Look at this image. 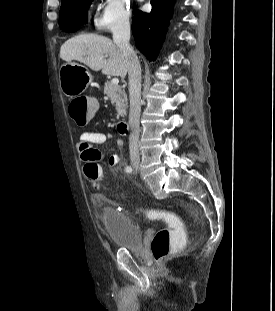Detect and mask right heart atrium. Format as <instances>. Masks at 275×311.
<instances>
[{
	"mask_svg": "<svg viewBox=\"0 0 275 311\" xmlns=\"http://www.w3.org/2000/svg\"><path fill=\"white\" fill-rule=\"evenodd\" d=\"M130 21V0H104L103 7L94 20V26L101 32H114L129 28Z\"/></svg>",
	"mask_w": 275,
	"mask_h": 311,
	"instance_id": "obj_1",
	"label": "right heart atrium"
}]
</instances>
